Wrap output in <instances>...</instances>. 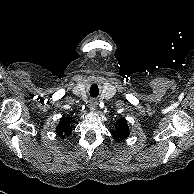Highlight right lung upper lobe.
I'll use <instances>...</instances> for the list:
<instances>
[{
  "instance_id": "1",
  "label": "right lung upper lobe",
  "mask_w": 194,
  "mask_h": 194,
  "mask_svg": "<svg viewBox=\"0 0 194 194\" xmlns=\"http://www.w3.org/2000/svg\"><path fill=\"white\" fill-rule=\"evenodd\" d=\"M70 124H71L70 118L63 117L60 120V122L56 128L57 135L60 138L63 139L65 136H68L71 133L72 127L70 126Z\"/></svg>"
}]
</instances>
